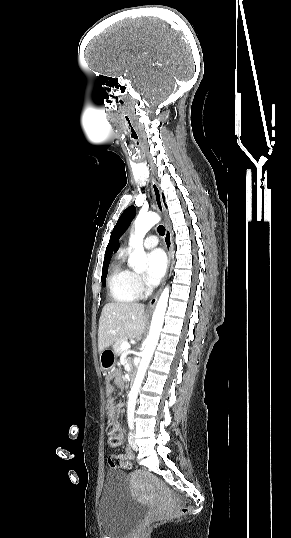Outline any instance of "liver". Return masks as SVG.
Listing matches in <instances>:
<instances>
[{
  "instance_id": "6515ba94",
  "label": "liver",
  "mask_w": 291,
  "mask_h": 538,
  "mask_svg": "<svg viewBox=\"0 0 291 538\" xmlns=\"http://www.w3.org/2000/svg\"><path fill=\"white\" fill-rule=\"evenodd\" d=\"M144 305L139 303H107L102 309L98 329V351L127 336H140L145 329Z\"/></svg>"
}]
</instances>
